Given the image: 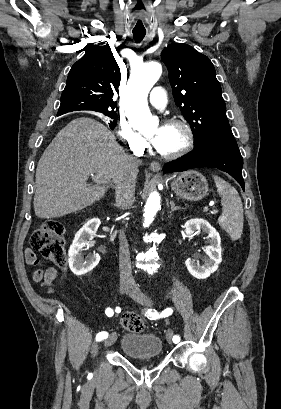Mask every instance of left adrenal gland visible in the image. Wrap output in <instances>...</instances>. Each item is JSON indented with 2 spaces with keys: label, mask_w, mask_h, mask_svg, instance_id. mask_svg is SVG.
<instances>
[{
  "label": "left adrenal gland",
  "mask_w": 281,
  "mask_h": 409,
  "mask_svg": "<svg viewBox=\"0 0 281 409\" xmlns=\"http://www.w3.org/2000/svg\"><path fill=\"white\" fill-rule=\"evenodd\" d=\"M171 211H178L181 207H176L174 200H170Z\"/></svg>",
  "instance_id": "obj_1"
}]
</instances>
